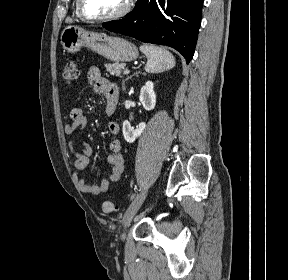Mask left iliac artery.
Returning a JSON list of instances; mask_svg holds the SVG:
<instances>
[{"label":"left iliac artery","mask_w":288,"mask_h":280,"mask_svg":"<svg viewBox=\"0 0 288 280\" xmlns=\"http://www.w3.org/2000/svg\"><path fill=\"white\" fill-rule=\"evenodd\" d=\"M140 195L139 191H134L133 193H131V196H129V202L135 203L136 202V198H138V196Z\"/></svg>","instance_id":"44dca946"}]
</instances>
